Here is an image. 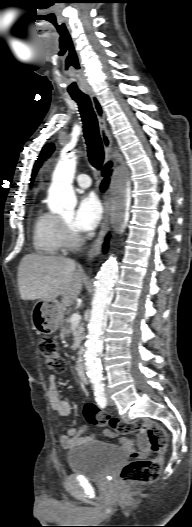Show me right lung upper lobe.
Instances as JSON below:
<instances>
[{"label": "right lung upper lobe", "instance_id": "obj_1", "mask_svg": "<svg viewBox=\"0 0 192 527\" xmlns=\"http://www.w3.org/2000/svg\"><path fill=\"white\" fill-rule=\"evenodd\" d=\"M53 149H54L53 144H47V145L43 148L42 153H41V155H40V158H39V160L37 161V163L35 164V167H34V170H33V177L35 176V174H36L38 168L40 167L41 162H42L43 160H45V159H46V158L52 153Z\"/></svg>", "mask_w": 192, "mask_h": 527}]
</instances>
